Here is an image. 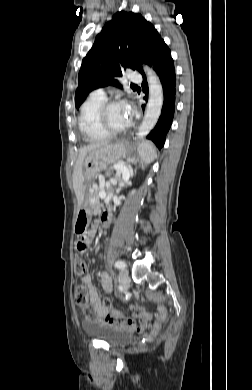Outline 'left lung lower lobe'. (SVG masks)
I'll return each mask as SVG.
<instances>
[{
	"instance_id": "left-lung-lower-lobe-1",
	"label": "left lung lower lobe",
	"mask_w": 252,
	"mask_h": 390,
	"mask_svg": "<svg viewBox=\"0 0 252 390\" xmlns=\"http://www.w3.org/2000/svg\"><path fill=\"white\" fill-rule=\"evenodd\" d=\"M160 78L163 88V105L161 115L155 127L147 135V138L154 142V144L161 149L164 146L166 135L171 127L177 99V83L174 61L171 57L170 49L162 40L155 52L153 53L149 63ZM142 88L146 94L145 100L148 99V84L144 72Z\"/></svg>"
}]
</instances>
